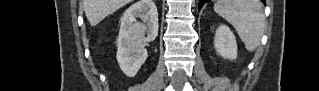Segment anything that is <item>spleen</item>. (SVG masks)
<instances>
[{"label": "spleen", "instance_id": "1", "mask_svg": "<svg viewBox=\"0 0 319 91\" xmlns=\"http://www.w3.org/2000/svg\"><path fill=\"white\" fill-rule=\"evenodd\" d=\"M214 10L236 29L248 51L256 49L265 30V15L258 0H218Z\"/></svg>", "mask_w": 319, "mask_h": 91}]
</instances>
